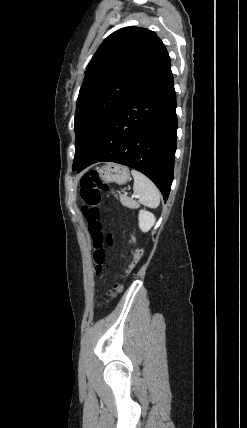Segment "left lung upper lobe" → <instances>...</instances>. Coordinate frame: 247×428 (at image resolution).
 <instances>
[{
  "instance_id": "1",
  "label": "left lung upper lobe",
  "mask_w": 247,
  "mask_h": 428,
  "mask_svg": "<svg viewBox=\"0 0 247 428\" xmlns=\"http://www.w3.org/2000/svg\"><path fill=\"white\" fill-rule=\"evenodd\" d=\"M169 61L165 45L148 29L125 27L102 42L87 66L77 99L73 165L85 160L120 104Z\"/></svg>"
}]
</instances>
